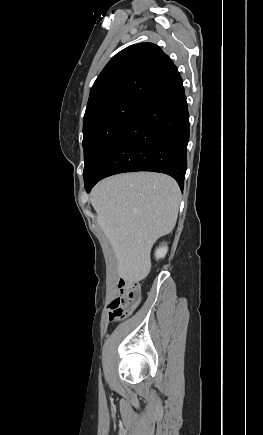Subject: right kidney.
<instances>
[{"label": "right kidney", "mask_w": 263, "mask_h": 435, "mask_svg": "<svg viewBox=\"0 0 263 435\" xmlns=\"http://www.w3.org/2000/svg\"><path fill=\"white\" fill-rule=\"evenodd\" d=\"M167 246H161L156 250V258H163L167 253Z\"/></svg>", "instance_id": "1"}]
</instances>
